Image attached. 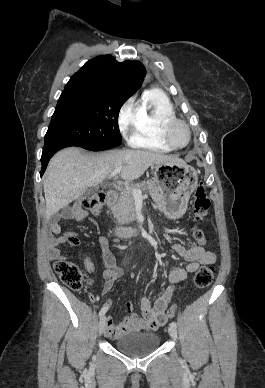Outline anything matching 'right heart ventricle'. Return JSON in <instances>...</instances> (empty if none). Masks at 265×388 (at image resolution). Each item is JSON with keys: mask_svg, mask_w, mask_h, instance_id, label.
<instances>
[{"mask_svg": "<svg viewBox=\"0 0 265 388\" xmlns=\"http://www.w3.org/2000/svg\"><path fill=\"white\" fill-rule=\"evenodd\" d=\"M174 109L163 91H148L138 104V114L131 141L133 145L154 151L167 152L172 149L163 135V127Z\"/></svg>", "mask_w": 265, "mask_h": 388, "instance_id": "right-heart-ventricle-1", "label": "right heart ventricle"}]
</instances>
